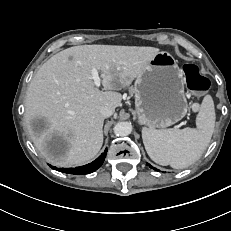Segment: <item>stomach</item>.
Segmentation results:
<instances>
[{"label": "stomach", "instance_id": "0dacf381", "mask_svg": "<svg viewBox=\"0 0 231 231\" xmlns=\"http://www.w3.org/2000/svg\"><path fill=\"white\" fill-rule=\"evenodd\" d=\"M131 91L138 121L149 128L169 127L188 111L182 71L168 52L162 51L154 56L136 78Z\"/></svg>", "mask_w": 231, "mask_h": 231}]
</instances>
